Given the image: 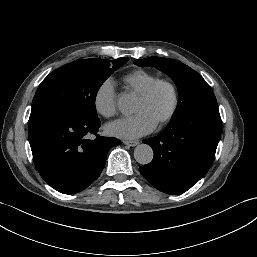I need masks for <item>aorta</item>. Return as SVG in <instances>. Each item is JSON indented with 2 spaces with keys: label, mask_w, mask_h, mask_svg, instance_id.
I'll return each mask as SVG.
<instances>
[{
  "label": "aorta",
  "mask_w": 257,
  "mask_h": 257,
  "mask_svg": "<svg viewBox=\"0 0 257 257\" xmlns=\"http://www.w3.org/2000/svg\"><path fill=\"white\" fill-rule=\"evenodd\" d=\"M117 107L121 113L131 114L134 111L135 100L129 94H121L117 100ZM134 158L141 165L149 164L153 159V150L147 144H140L134 149Z\"/></svg>",
  "instance_id": "1"
}]
</instances>
